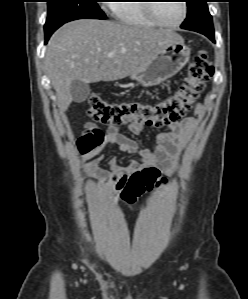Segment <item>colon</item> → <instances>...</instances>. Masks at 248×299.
Segmentation results:
<instances>
[{"instance_id": "colon-1", "label": "colon", "mask_w": 248, "mask_h": 299, "mask_svg": "<svg viewBox=\"0 0 248 299\" xmlns=\"http://www.w3.org/2000/svg\"><path fill=\"white\" fill-rule=\"evenodd\" d=\"M214 65L205 52H199L190 62L181 85L169 96L156 101H108L99 95L88 99V113L102 124L142 122L149 126H162L181 120L192 108L204 85L214 75ZM159 170L149 166L134 171L120 184V196L128 203L145 192L165 185Z\"/></svg>"}]
</instances>
